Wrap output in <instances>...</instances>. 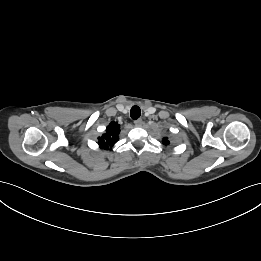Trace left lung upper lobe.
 Returning <instances> with one entry per match:
<instances>
[{
  "label": "left lung upper lobe",
  "instance_id": "1",
  "mask_svg": "<svg viewBox=\"0 0 261 261\" xmlns=\"http://www.w3.org/2000/svg\"><path fill=\"white\" fill-rule=\"evenodd\" d=\"M163 144H165V145H168V144H169V141L167 140V138H164V139H163Z\"/></svg>",
  "mask_w": 261,
  "mask_h": 261
}]
</instances>
